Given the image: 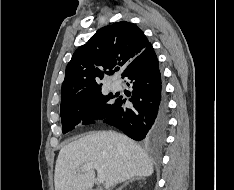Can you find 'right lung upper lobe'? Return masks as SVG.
Instances as JSON below:
<instances>
[{"mask_svg":"<svg viewBox=\"0 0 234 190\" xmlns=\"http://www.w3.org/2000/svg\"><path fill=\"white\" fill-rule=\"evenodd\" d=\"M150 45L143 31L133 23L120 21L101 28L74 52L68 63L61 104L101 89L99 80L111 72L107 70L120 66L125 68V72L128 65Z\"/></svg>","mask_w":234,"mask_h":190,"instance_id":"1","label":"right lung upper lobe"}]
</instances>
